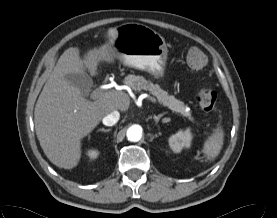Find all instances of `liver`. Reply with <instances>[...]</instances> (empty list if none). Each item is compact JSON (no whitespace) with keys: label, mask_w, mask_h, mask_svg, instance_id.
Segmentation results:
<instances>
[{"label":"liver","mask_w":277,"mask_h":218,"mask_svg":"<svg viewBox=\"0 0 277 218\" xmlns=\"http://www.w3.org/2000/svg\"><path fill=\"white\" fill-rule=\"evenodd\" d=\"M107 35L108 40L114 39L116 29L110 28ZM114 57V50L107 43L90 50L86 60L80 58L77 47H70L60 56L45 83L35 105V131L45 155L57 167L77 166L81 140L112 111L128 110L130 98L125 92H102L90 101L65 78L69 73H85L86 69L93 74L101 61L111 62Z\"/></svg>","instance_id":"6515ba94"}]
</instances>
